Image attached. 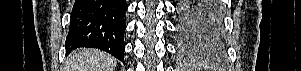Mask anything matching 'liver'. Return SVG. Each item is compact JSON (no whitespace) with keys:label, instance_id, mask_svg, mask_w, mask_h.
<instances>
[{"label":"liver","instance_id":"liver-1","mask_svg":"<svg viewBox=\"0 0 301 71\" xmlns=\"http://www.w3.org/2000/svg\"><path fill=\"white\" fill-rule=\"evenodd\" d=\"M116 59L97 49H80L72 52L67 59L68 71H113Z\"/></svg>","mask_w":301,"mask_h":71}]
</instances>
